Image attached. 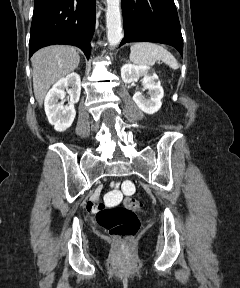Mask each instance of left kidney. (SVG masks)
<instances>
[{
    "mask_svg": "<svg viewBox=\"0 0 240 288\" xmlns=\"http://www.w3.org/2000/svg\"><path fill=\"white\" fill-rule=\"evenodd\" d=\"M121 77L124 83L131 84L142 78L143 90L147 89L149 97L146 98L137 91L133 95V101L143 112L154 114L161 108V99L164 96L163 88L156 73L148 66L125 64L121 68Z\"/></svg>",
    "mask_w": 240,
    "mask_h": 288,
    "instance_id": "left-kidney-1",
    "label": "left kidney"
}]
</instances>
